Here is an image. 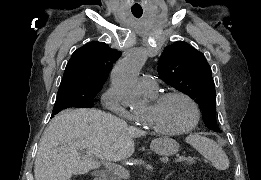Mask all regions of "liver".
<instances>
[{
	"label": "liver",
	"mask_w": 261,
	"mask_h": 180,
	"mask_svg": "<svg viewBox=\"0 0 261 180\" xmlns=\"http://www.w3.org/2000/svg\"><path fill=\"white\" fill-rule=\"evenodd\" d=\"M145 134L95 108L63 110L43 132L35 180H70L74 174H88L105 162L127 160L134 154V138Z\"/></svg>",
	"instance_id": "1"
}]
</instances>
